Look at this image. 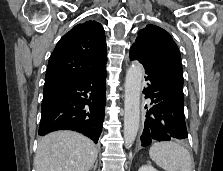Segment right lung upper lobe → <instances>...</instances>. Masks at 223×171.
Returning <instances> with one entry per match:
<instances>
[{"mask_svg":"<svg viewBox=\"0 0 223 171\" xmlns=\"http://www.w3.org/2000/svg\"><path fill=\"white\" fill-rule=\"evenodd\" d=\"M104 29L96 21L74 26L56 45L48 62L44 91L77 83L106 67Z\"/></svg>","mask_w":223,"mask_h":171,"instance_id":"cb5924a9","label":"right lung upper lobe"}]
</instances>
